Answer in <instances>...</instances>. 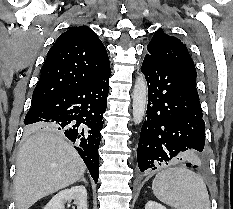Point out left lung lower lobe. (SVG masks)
Segmentation results:
<instances>
[{"label": "left lung lower lobe", "instance_id": "obj_1", "mask_svg": "<svg viewBox=\"0 0 233 209\" xmlns=\"http://www.w3.org/2000/svg\"><path fill=\"white\" fill-rule=\"evenodd\" d=\"M142 73L149 97L137 149L140 170H154L177 161L198 167L205 144V123L197 76L148 54Z\"/></svg>", "mask_w": 233, "mask_h": 209}]
</instances>
